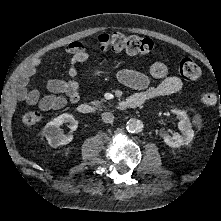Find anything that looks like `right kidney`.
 <instances>
[{
	"label": "right kidney",
	"mask_w": 221,
	"mask_h": 221,
	"mask_svg": "<svg viewBox=\"0 0 221 221\" xmlns=\"http://www.w3.org/2000/svg\"><path fill=\"white\" fill-rule=\"evenodd\" d=\"M71 123L73 124L70 128L74 131L77 128L76 120L72 114L64 113L59 115L58 117L54 118L52 121L48 122L44 129L43 134L46 137L49 145L52 147H58L62 145H66L70 143L73 139L72 135H64L60 126L63 123Z\"/></svg>",
	"instance_id": "1"
}]
</instances>
